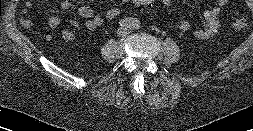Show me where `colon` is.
<instances>
[{
  "mask_svg": "<svg viewBox=\"0 0 253 131\" xmlns=\"http://www.w3.org/2000/svg\"><path fill=\"white\" fill-rule=\"evenodd\" d=\"M155 0H125L114 3L104 12V18L107 21H115L129 7L130 4L133 5H151ZM247 27V21L244 17L237 18L233 23V28L235 30H243Z\"/></svg>",
  "mask_w": 253,
  "mask_h": 131,
  "instance_id": "obj_1",
  "label": "colon"
}]
</instances>
